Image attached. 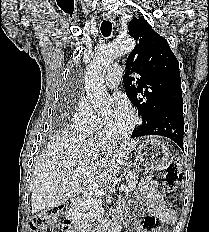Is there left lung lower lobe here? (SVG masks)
Listing matches in <instances>:
<instances>
[{
  "mask_svg": "<svg viewBox=\"0 0 209 232\" xmlns=\"http://www.w3.org/2000/svg\"><path fill=\"white\" fill-rule=\"evenodd\" d=\"M184 118L183 106L172 107L158 112L148 122L134 129L131 137L137 138L147 135L167 137L183 148Z\"/></svg>",
  "mask_w": 209,
  "mask_h": 232,
  "instance_id": "left-lung-lower-lobe-1",
  "label": "left lung lower lobe"
}]
</instances>
